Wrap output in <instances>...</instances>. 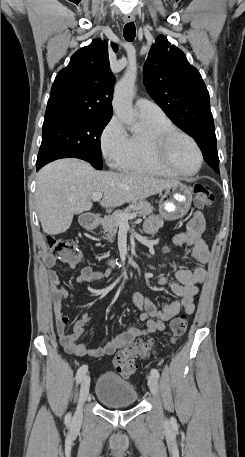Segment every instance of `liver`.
Here are the masks:
<instances>
[{"label":"liver","instance_id":"6515ba94","mask_svg":"<svg viewBox=\"0 0 245 457\" xmlns=\"http://www.w3.org/2000/svg\"><path fill=\"white\" fill-rule=\"evenodd\" d=\"M178 182L141 172L95 170L79 158H60L40 168L35 198L44 233L59 235L69 229L73 214L90 210L94 192H103L102 206H121L144 200Z\"/></svg>","mask_w":245,"mask_h":457}]
</instances>
